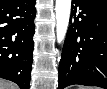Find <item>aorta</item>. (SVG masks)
<instances>
[{"label": "aorta", "mask_w": 107, "mask_h": 89, "mask_svg": "<svg viewBox=\"0 0 107 89\" xmlns=\"http://www.w3.org/2000/svg\"><path fill=\"white\" fill-rule=\"evenodd\" d=\"M56 34L57 41L61 43L66 36L69 19H70V11H71V0H56Z\"/></svg>", "instance_id": "obj_1"}]
</instances>
